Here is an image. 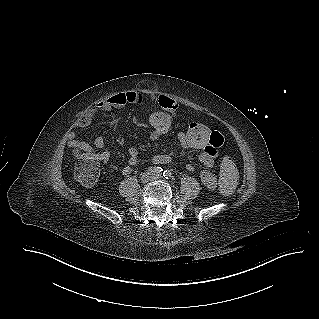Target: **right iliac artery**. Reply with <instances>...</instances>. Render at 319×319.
Wrapping results in <instances>:
<instances>
[{"label": "right iliac artery", "mask_w": 319, "mask_h": 319, "mask_svg": "<svg viewBox=\"0 0 319 319\" xmlns=\"http://www.w3.org/2000/svg\"><path fill=\"white\" fill-rule=\"evenodd\" d=\"M162 171H163L162 167H159V166L151 167L148 169V172L150 173H160Z\"/></svg>", "instance_id": "obj_1"}]
</instances>
